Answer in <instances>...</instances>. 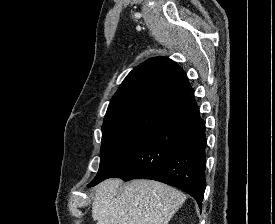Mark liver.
Instances as JSON below:
<instances>
[{"label":"liver","instance_id":"1","mask_svg":"<svg viewBox=\"0 0 275 224\" xmlns=\"http://www.w3.org/2000/svg\"><path fill=\"white\" fill-rule=\"evenodd\" d=\"M122 185L121 179H107L97 186L92 203L96 224H168L186 200L182 192L153 180Z\"/></svg>","mask_w":275,"mask_h":224}]
</instances>
